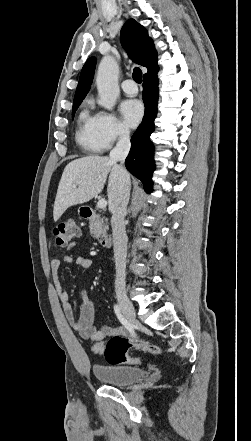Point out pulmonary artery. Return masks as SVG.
I'll use <instances>...</instances> for the list:
<instances>
[{
	"instance_id": "e3ab8cb5",
	"label": "pulmonary artery",
	"mask_w": 251,
	"mask_h": 441,
	"mask_svg": "<svg viewBox=\"0 0 251 441\" xmlns=\"http://www.w3.org/2000/svg\"><path fill=\"white\" fill-rule=\"evenodd\" d=\"M121 87L123 91L130 96H134L138 92L137 85L132 79L124 80L121 84Z\"/></svg>"
}]
</instances>
